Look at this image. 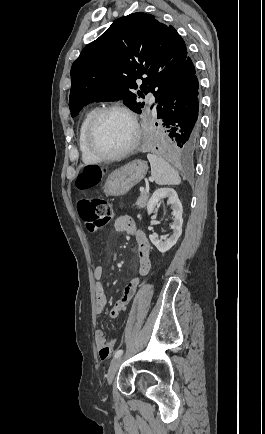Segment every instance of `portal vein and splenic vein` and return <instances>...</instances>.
<instances>
[{
  "mask_svg": "<svg viewBox=\"0 0 265 434\" xmlns=\"http://www.w3.org/2000/svg\"><path fill=\"white\" fill-rule=\"evenodd\" d=\"M140 192H144V188H140Z\"/></svg>",
  "mask_w": 265,
  "mask_h": 434,
  "instance_id": "obj_1",
  "label": "portal vein and splenic vein"
}]
</instances>
